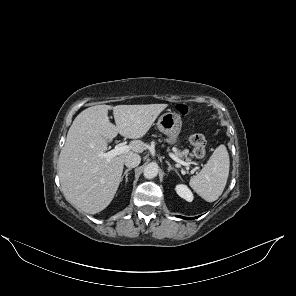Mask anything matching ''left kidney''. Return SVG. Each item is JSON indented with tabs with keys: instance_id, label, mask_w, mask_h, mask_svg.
Returning <instances> with one entry per match:
<instances>
[{
	"instance_id": "5707ae66",
	"label": "left kidney",
	"mask_w": 296,
	"mask_h": 296,
	"mask_svg": "<svg viewBox=\"0 0 296 296\" xmlns=\"http://www.w3.org/2000/svg\"><path fill=\"white\" fill-rule=\"evenodd\" d=\"M175 190L177 194L186 201L191 202L193 200V194L186 185L179 184L176 186Z\"/></svg>"
}]
</instances>
